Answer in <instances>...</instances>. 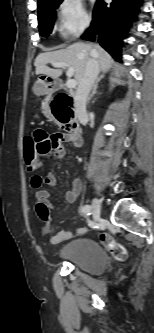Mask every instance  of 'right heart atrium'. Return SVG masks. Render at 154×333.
<instances>
[{
	"label": "right heart atrium",
	"instance_id": "right-heart-atrium-1",
	"mask_svg": "<svg viewBox=\"0 0 154 333\" xmlns=\"http://www.w3.org/2000/svg\"><path fill=\"white\" fill-rule=\"evenodd\" d=\"M91 24L83 0H60L57 7V29L65 37H77Z\"/></svg>",
	"mask_w": 154,
	"mask_h": 333
}]
</instances>
